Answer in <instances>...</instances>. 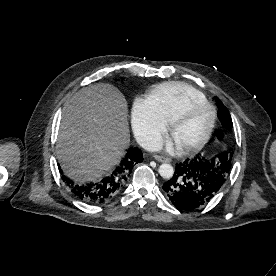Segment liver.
Here are the masks:
<instances>
[{
    "instance_id": "obj_1",
    "label": "liver",
    "mask_w": 276,
    "mask_h": 276,
    "mask_svg": "<svg viewBox=\"0 0 276 276\" xmlns=\"http://www.w3.org/2000/svg\"><path fill=\"white\" fill-rule=\"evenodd\" d=\"M128 108L112 85L82 88L63 109L57 154L66 175L85 182L102 176L129 143Z\"/></svg>"
}]
</instances>
